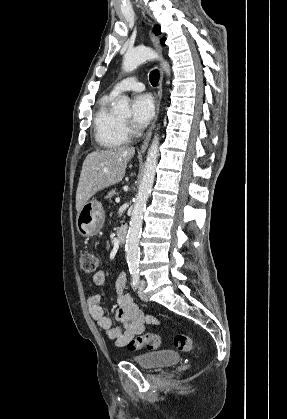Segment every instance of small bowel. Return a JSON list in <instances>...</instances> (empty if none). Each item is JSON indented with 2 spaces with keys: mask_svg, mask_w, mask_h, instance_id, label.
I'll return each mask as SVG.
<instances>
[{
  "mask_svg": "<svg viewBox=\"0 0 287 419\" xmlns=\"http://www.w3.org/2000/svg\"><path fill=\"white\" fill-rule=\"evenodd\" d=\"M106 275L104 271H99L93 276L94 284L100 286L105 283ZM117 309L115 313L119 325H112L101 306V294L93 293L88 299L89 313L97 325L106 335L116 342L119 347H125L136 335L144 331L146 324L155 325L157 318L152 314H143L134 304L133 299L127 293V276L120 273L115 282Z\"/></svg>",
  "mask_w": 287,
  "mask_h": 419,
  "instance_id": "small-bowel-1",
  "label": "small bowel"
}]
</instances>
